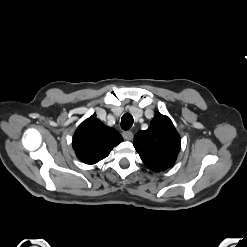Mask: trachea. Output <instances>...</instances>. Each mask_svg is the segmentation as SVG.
<instances>
[{"mask_svg": "<svg viewBox=\"0 0 247 247\" xmlns=\"http://www.w3.org/2000/svg\"><path fill=\"white\" fill-rule=\"evenodd\" d=\"M133 125V117L131 114L126 113L121 118V128L123 130H129Z\"/></svg>", "mask_w": 247, "mask_h": 247, "instance_id": "obj_1", "label": "trachea"}]
</instances>
